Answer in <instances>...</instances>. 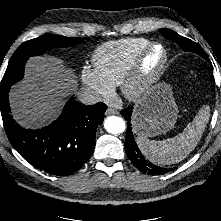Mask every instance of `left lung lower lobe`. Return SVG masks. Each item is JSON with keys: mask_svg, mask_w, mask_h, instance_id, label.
<instances>
[{"mask_svg": "<svg viewBox=\"0 0 221 221\" xmlns=\"http://www.w3.org/2000/svg\"><path fill=\"white\" fill-rule=\"evenodd\" d=\"M133 106H130L121 111V115L127 120V135L125 139V151L128 158L133 165L142 173L149 175H161L163 173L171 171V169L158 167L144 158L140 152L136 142L134 141L133 132L131 128V114Z\"/></svg>", "mask_w": 221, "mask_h": 221, "instance_id": "obj_1", "label": "left lung lower lobe"}]
</instances>
